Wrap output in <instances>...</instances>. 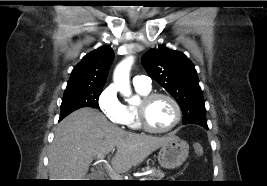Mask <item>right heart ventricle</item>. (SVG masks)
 Returning <instances> with one entry per match:
<instances>
[{"instance_id":"right-heart-ventricle-1","label":"right heart ventricle","mask_w":267,"mask_h":186,"mask_svg":"<svg viewBox=\"0 0 267 186\" xmlns=\"http://www.w3.org/2000/svg\"><path fill=\"white\" fill-rule=\"evenodd\" d=\"M135 89L137 93L140 94L141 96L150 92V89H144L141 87H135ZM121 124L125 125L126 127L132 130H139L141 128L138 120L137 105L135 104L123 105Z\"/></svg>"}]
</instances>
